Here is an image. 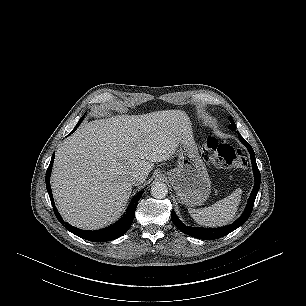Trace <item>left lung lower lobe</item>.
<instances>
[{
	"label": "left lung lower lobe",
	"instance_id": "1",
	"mask_svg": "<svg viewBox=\"0 0 306 306\" xmlns=\"http://www.w3.org/2000/svg\"><path fill=\"white\" fill-rule=\"evenodd\" d=\"M240 141L246 146V148L249 150L251 162H252V168L255 178V185L252 190V193L249 197L247 206L243 212V214L233 223L228 226L219 227V228H198V227H190L184 225L180 219L177 217L174 211L171 212V219L172 222L175 224V226L182 231L183 233L198 238V239H204V240H214L221 238L230 232L234 231L238 227H240L242 224H244L247 219L249 218L253 205L257 196V193L260 188V172L256 164L255 154L252 149V147L247 143L243 137L239 134Z\"/></svg>",
	"mask_w": 306,
	"mask_h": 306
}]
</instances>
